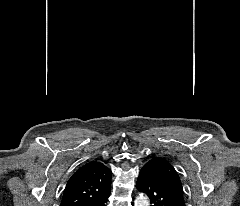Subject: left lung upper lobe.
Masks as SVG:
<instances>
[{
  "label": "left lung upper lobe",
  "mask_w": 240,
  "mask_h": 206,
  "mask_svg": "<svg viewBox=\"0 0 240 206\" xmlns=\"http://www.w3.org/2000/svg\"><path fill=\"white\" fill-rule=\"evenodd\" d=\"M148 163L155 165L156 171L164 180L165 184L180 201L184 202V192L180 177L172 164L162 157L153 158Z\"/></svg>",
  "instance_id": "5c2ea615"
}]
</instances>
